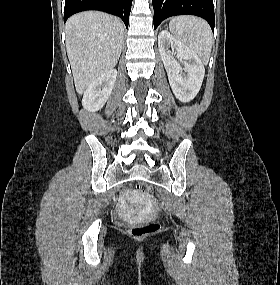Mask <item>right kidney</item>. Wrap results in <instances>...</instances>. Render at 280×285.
<instances>
[{
	"label": "right kidney",
	"instance_id": "1",
	"mask_svg": "<svg viewBox=\"0 0 280 285\" xmlns=\"http://www.w3.org/2000/svg\"><path fill=\"white\" fill-rule=\"evenodd\" d=\"M116 77L117 70L111 69L95 79L84 92L82 99L84 109L90 112L100 110L112 92Z\"/></svg>",
	"mask_w": 280,
	"mask_h": 285
}]
</instances>
